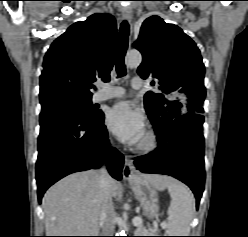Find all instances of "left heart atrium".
I'll use <instances>...</instances> for the list:
<instances>
[{
  "label": "left heart atrium",
  "mask_w": 248,
  "mask_h": 237,
  "mask_svg": "<svg viewBox=\"0 0 248 237\" xmlns=\"http://www.w3.org/2000/svg\"><path fill=\"white\" fill-rule=\"evenodd\" d=\"M108 128L123 142L136 144L145 135V119L132 103L123 101L115 104L107 113Z\"/></svg>",
  "instance_id": "39dd6f15"
}]
</instances>
